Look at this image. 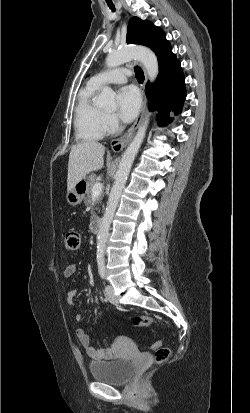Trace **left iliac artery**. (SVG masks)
I'll use <instances>...</instances> for the list:
<instances>
[{"instance_id":"left-iliac-artery-1","label":"left iliac artery","mask_w":250,"mask_h":413,"mask_svg":"<svg viewBox=\"0 0 250 413\" xmlns=\"http://www.w3.org/2000/svg\"><path fill=\"white\" fill-rule=\"evenodd\" d=\"M99 274L102 278L105 277V265L104 264H99Z\"/></svg>"}]
</instances>
